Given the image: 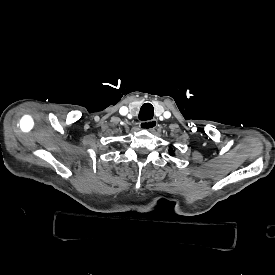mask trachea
<instances>
[{
	"instance_id": "1",
	"label": "trachea",
	"mask_w": 275,
	"mask_h": 275,
	"mask_svg": "<svg viewBox=\"0 0 275 275\" xmlns=\"http://www.w3.org/2000/svg\"><path fill=\"white\" fill-rule=\"evenodd\" d=\"M154 115V108L150 103H145L141 106L138 118L141 121L151 120Z\"/></svg>"
}]
</instances>
